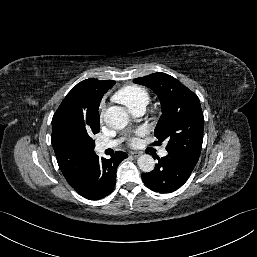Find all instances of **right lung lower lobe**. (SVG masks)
Listing matches in <instances>:
<instances>
[{
	"mask_svg": "<svg viewBox=\"0 0 257 257\" xmlns=\"http://www.w3.org/2000/svg\"><path fill=\"white\" fill-rule=\"evenodd\" d=\"M124 152H115L110 159L95 155L84 168L80 177L71 186L89 200H98L109 195L116 183V169L127 158Z\"/></svg>",
	"mask_w": 257,
	"mask_h": 257,
	"instance_id": "obj_1",
	"label": "right lung lower lobe"
}]
</instances>
